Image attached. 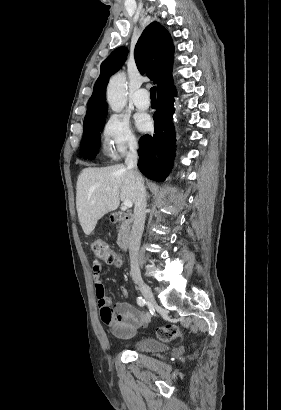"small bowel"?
Returning <instances> with one entry per match:
<instances>
[{"instance_id":"c3829d8e","label":"small bowel","mask_w":281,"mask_h":410,"mask_svg":"<svg viewBox=\"0 0 281 410\" xmlns=\"http://www.w3.org/2000/svg\"><path fill=\"white\" fill-rule=\"evenodd\" d=\"M92 273L95 282V293L98 307L100 308L102 319L105 317V311H111L116 319V325L112 328V333L116 338L129 339L134 336L137 329L146 325L151 315L144 313L129 303H118L112 306L111 299L107 295L105 286L101 280L102 263L95 259L92 264ZM121 293L127 297L130 292L127 288L122 287ZM116 310V314L114 312Z\"/></svg>"}]
</instances>
